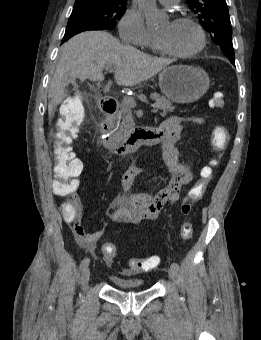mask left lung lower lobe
I'll return each instance as SVG.
<instances>
[{
	"instance_id": "obj_1",
	"label": "left lung lower lobe",
	"mask_w": 261,
	"mask_h": 340,
	"mask_svg": "<svg viewBox=\"0 0 261 340\" xmlns=\"http://www.w3.org/2000/svg\"><path fill=\"white\" fill-rule=\"evenodd\" d=\"M230 62H231L233 65H235V61H234V60H230Z\"/></svg>"
}]
</instances>
